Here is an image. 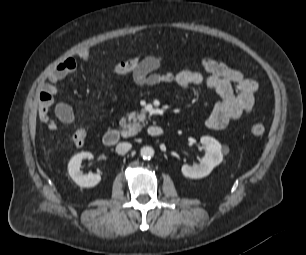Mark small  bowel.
<instances>
[{
  "label": "small bowel",
  "instance_id": "c3829d8e",
  "mask_svg": "<svg viewBox=\"0 0 306 255\" xmlns=\"http://www.w3.org/2000/svg\"><path fill=\"white\" fill-rule=\"evenodd\" d=\"M77 57L87 61L90 58V52L82 49L77 53ZM162 64L163 58L159 55H148L142 58L138 66L130 73L134 83L139 86L175 83L181 88L205 85L217 97L205 121L209 129H224L230 122L252 112L259 85L241 71L209 57L201 59L203 71L183 69L176 72L172 70L159 72ZM76 67L75 58H66L49 73L41 85L38 96V117L52 131L57 129V123L49 115L51 107L62 123L70 124L74 120L72 108L65 103L54 104V97L58 93L59 82L73 73Z\"/></svg>",
  "mask_w": 306,
  "mask_h": 255
}]
</instances>
